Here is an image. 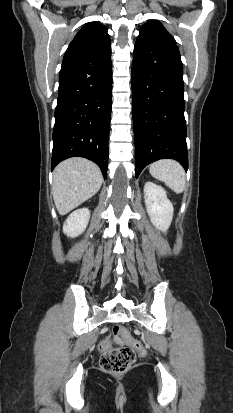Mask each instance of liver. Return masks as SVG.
<instances>
[{
  "instance_id": "liver-1",
  "label": "liver",
  "mask_w": 233,
  "mask_h": 413,
  "mask_svg": "<svg viewBox=\"0 0 233 413\" xmlns=\"http://www.w3.org/2000/svg\"><path fill=\"white\" fill-rule=\"evenodd\" d=\"M102 182L99 167L90 160L75 157L58 164L51 192L59 214H67L94 196Z\"/></svg>"
}]
</instances>
